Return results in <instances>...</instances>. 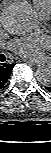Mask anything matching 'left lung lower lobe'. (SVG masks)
<instances>
[{
    "mask_svg": "<svg viewBox=\"0 0 51 153\" xmlns=\"http://www.w3.org/2000/svg\"><path fill=\"white\" fill-rule=\"evenodd\" d=\"M46 89L51 92V86L50 85L48 87H46Z\"/></svg>",
    "mask_w": 51,
    "mask_h": 153,
    "instance_id": "0a47b994",
    "label": "left lung lower lobe"
}]
</instances>
